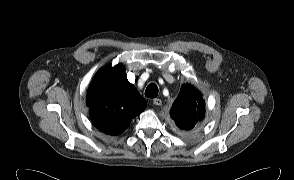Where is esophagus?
<instances>
[{"label": "esophagus", "mask_w": 294, "mask_h": 180, "mask_svg": "<svg viewBox=\"0 0 294 180\" xmlns=\"http://www.w3.org/2000/svg\"><path fill=\"white\" fill-rule=\"evenodd\" d=\"M153 104L156 106H160L162 104V101L159 98H155L153 99Z\"/></svg>", "instance_id": "1"}]
</instances>
